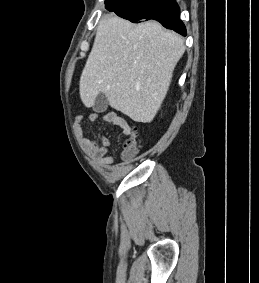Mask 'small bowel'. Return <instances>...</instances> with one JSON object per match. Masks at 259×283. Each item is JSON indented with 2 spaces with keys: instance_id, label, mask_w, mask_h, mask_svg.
I'll use <instances>...</instances> for the list:
<instances>
[{
  "instance_id": "small-bowel-1",
  "label": "small bowel",
  "mask_w": 259,
  "mask_h": 283,
  "mask_svg": "<svg viewBox=\"0 0 259 283\" xmlns=\"http://www.w3.org/2000/svg\"><path fill=\"white\" fill-rule=\"evenodd\" d=\"M89 121L92 123H97L100 121L111 123L120 127L125 135L129 136L132 133V128L128 122L114 112H108L102 117H100L98 113H91L89 115ZM88 150L93 156L100 157L105 165H110L113 161V158L110 156V141L106 138H90L88 140ZM124 171V166H119L116 168V173L119 175Z\"/></svg>"
}]
</instances>
